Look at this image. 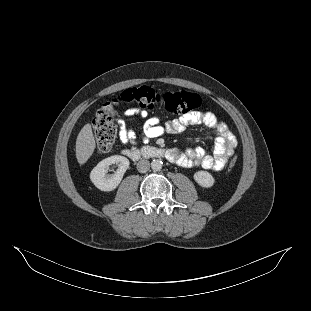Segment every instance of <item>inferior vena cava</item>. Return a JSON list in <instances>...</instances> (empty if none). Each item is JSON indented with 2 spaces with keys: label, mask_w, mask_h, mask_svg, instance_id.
Masks as SVG:
<instances>
[{
  "label": "inferior vena cava",
  "mask_w": 311,
  "mask_h": 311,
  "mask_svg": "<svg viewBox=\"0 0 311 311\" xmlns=\"http://www.w3.org/2000/svg\"><path fill=\"white\" fill-rule=\"evenodd\" d=\"M150 168V162L146 159H142V160H139L138 163H137V170L140 172V173H145L149 170Z\"/></svg>",
  "instance_id": "obj_1"
}]
</instances>
